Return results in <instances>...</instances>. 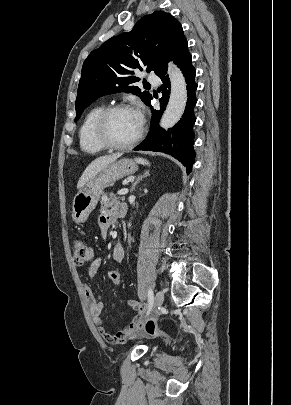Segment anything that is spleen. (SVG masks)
<instances>
[{
    "label": "spleen",
    "instance_id": "spleen-1",
    "mask_svg": "<svg viewBox=\"0 0 291 405\" xmlns=\"http://www.w3.org/2000/svg\"><path fill=\"white\" fill-rule=\"evenodd\" d=\"M136 161H137L138 163H141V164H144V165H148V166H149V162H148L147 160H145V159L136 158Z\"/></svg>",
    "mask_w": 291,
    "mask_h": 405
}]
</instances>
